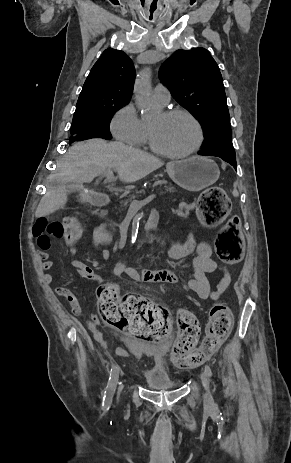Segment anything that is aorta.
I'll return each instance as SVG.
<instances>
[{"mask_svg": "<svg viewBox=\"0 0 291 463\" xmlns=\"http://www.w3.org/2000/svg\"><path fill=\"white\" fill-rule=\"evenodd\" d=\"M151 72L149 68L144 69L136 79L134 85L135 103L147 115L151 108Z\"/></svg>", "mask_w": 291, "mask_h": 463, "instance_id": "762f6f07", "label": "aorta"}]
</instances>
